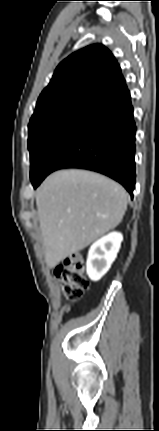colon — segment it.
<instances>
[{"label": "colon", "instance_id": "1", "mask_svg": "<svg viewBox=\"0 0 159 431\" xmlns=\"http://www.w3.org/2000/svg\"><path fill=\"white\" fill-rule=\"evenodd\" d=\"M55 277L71 301L81 299L89 287L86 263L80 253H74L59 263L55 268Z\"/></svg>", "mask_w": 159, "mask_h": 431}]
</instances>
